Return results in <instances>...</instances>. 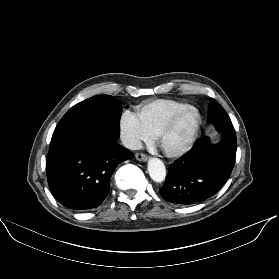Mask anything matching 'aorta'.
Wrapping results in <instances>:
<instances>
[{"instance_id": "obj_1", "label": "aorta", "mask_w": 279, "mask_h": 279, "mask_svg": "<svg viewBox=\"0 0 279 279\" xmlns=\"http://www.w3.org/2000/svg\"><path fill=\"white\" fill-rule=\"evenodd\" d=\"M148 172L151 179L155 182H162L166 177L164 163L158 158H150L148 161Z\"/></svg>"}]
</instances>
